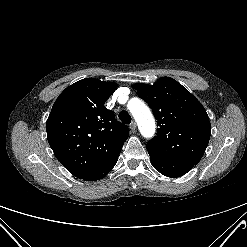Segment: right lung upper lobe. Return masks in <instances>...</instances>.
Listing matches in <instances>:
<instances>
[{
    "instance_id": "right-lung-upper-lobe-1",
    "label": "right lung upper lobe",
    "mask_w": 247,
    "mask_h": 247,
    "mask_svg": "<svg viewBox=\"0 0 247 247\" xmlns=\"http://www.w3.org/2000/svg\"><path fill=\"white\" fill-rule=\"evenodd\" d=\"M117 84L86 78L67 87L46 124L56 158L75 177L87 179L116 160L129 135L104 103Z\"/></svg>"
}]
</instances>
